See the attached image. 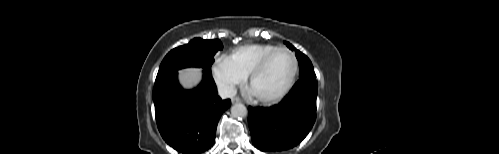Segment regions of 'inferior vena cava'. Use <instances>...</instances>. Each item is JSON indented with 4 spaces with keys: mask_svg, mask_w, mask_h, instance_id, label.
Wrapping results in <instances>:
<instances>
[{
    "mask_svg": "<svg viewBox=\"0 0 499 154\" xmlns=\"http://www.w3.org/2000/svg\"><path fill=\"white\" fill-rule=\"evenodd\" d=\"M219 96L222 99L232 98L236 95V88L232 85H221L218 87Z\"/></svg>",
    "mask_w": 499,
    "mask_h": 154,
    "instance_id": "obj_1",
    "label": "inferior vena cava"
}]
</instances>
